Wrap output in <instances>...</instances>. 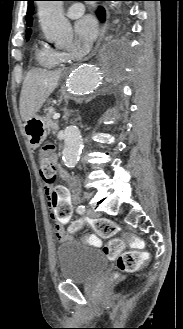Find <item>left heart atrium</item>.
<instances>
[{"instance_id":"left-heart-atrium-1","label":"left heart atrium","mask_w":183,"mask_h":329,"mask_svg":"<svg viewBox=\"0 0 183 329\" xmlns=\"http://www.w3.org/2000/svg\"><path fill=\"white\" fill-rule=\"evenodd\" d=\"M75 31L80 40L91 42L97 35L98 25L94 17L86 15L77 21Z\"/></svg>"}]
</instances>
